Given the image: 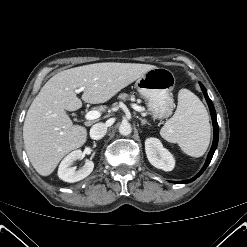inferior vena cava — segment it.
Instances as JSON below:
<instances>
[{"instance_id": "obj_1", "label": "inferior vena cava", "mask_w": 247, "mask_h": 247, "mask_svg": "<svg viewBox=\"0 0 247 247\" xmlns=\"http://www.w3.org/2000/svg\"><path fill=\"white\" fill-rule=\"evenodd\" d=\"M107 124L99 122L93 125L90 129V137L94 140H99L105 136L107 132Z\"/></svg>"}]
</instances>
